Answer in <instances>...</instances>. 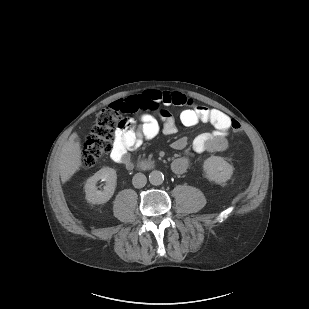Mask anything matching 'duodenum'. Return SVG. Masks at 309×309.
Segmentation results:
<instances>
[{
  "instance_id": "1",
  "label": "duodenum",
  "mask_w": 309,
  "mask_h": 309,
  "mask_svg": "<svg viewBox=\"0 0 309 309\" xmlns=\"http://www.w3.org/2000/svg\"><path fill=\"white\" fill-rule=\"evenodd\" d=\"M138 166L146 169V168H150L151 164L149 162H146V161H140V162H138Z\"/></svg>"
}]
</instances>
